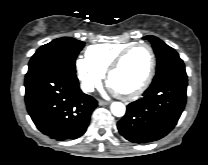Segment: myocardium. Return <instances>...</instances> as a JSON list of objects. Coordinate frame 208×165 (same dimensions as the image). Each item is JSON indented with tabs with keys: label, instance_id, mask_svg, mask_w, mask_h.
Masks as SVG:
<instances>
[{
	"label": "myocardium",
	"instance_id": "1",
	"mask_svg": "<svg viewBox=\"0 0 208 165\" xmlns=\"http://www.w3.org/2000/svg\"><path fill=\"white\" fill-rule=\"evenodd\" d=\"M143 46L146 47L149 50L150 53V67L148 70V73L144 79V81L139 85L137 88H135L132 91L129 92H118L115 91V93L123 98V99H133L141 95L150 85L156 68V55L153 47L145 42H136L132 43L123 50H121L116 57L113 59V61L110 63L107 71H106V80L107 83L110 85V78L113 72L122 64L123 60L126 58V56L136 47ZM111 86V85H110Z\"/></svg>",
	"mask_w": 208,
	"mask_h": 165
}]
</instances>
